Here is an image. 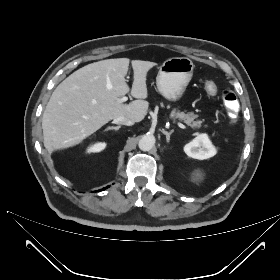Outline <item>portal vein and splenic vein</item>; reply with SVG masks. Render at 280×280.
Masks as SVG:
<instances>
[{
    "label": "portal vein and splenic vein",
    "mask_w": 280,
    "mask_h": 280,
    "mask_svg": "<svg viewBox=\"0 0 280 280\" xmlns=\"http://www.w3.org/2000/svg\"><path fill=\"white\" fill-rule=\"evenodd\" d=\"M128 100V97L124 96L122 98H119L117 100L118 103H123V102H126ZM177 125L181 128V129H186V126L180 122L177 123Z\"/></svg>",
    "instance_id": "1"
}]
</instances>
